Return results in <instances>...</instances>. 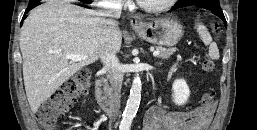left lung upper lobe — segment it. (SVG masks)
I'll list each match as a JSON object with an SVG mask.
<instances>
[{
	"label": "left lung upper lobe",
	"mask_w": 257,
	"mask_h": 130,
	"mask_svg": "<svg viewBox=\"0 0 257 130\" xmlns=\"http://www.w3.org/2000/svg\"><path fill=\"white\" fill-rule=\"evenodd\" d=\"M201 0H179L177 3H176V5L177 6H181V5H185V4H191V3H198V4H200L199 2H200Z\"/></svg>",
	"instance_id": "5c2ea615"
}]
</instances>
